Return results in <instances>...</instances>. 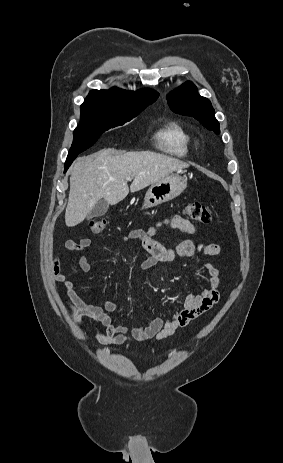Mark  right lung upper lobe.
Returning <instances> with one entry per match:
<instances>
[{
	"instance_id": "cb5924a9",
	"label": "right lung upper lobe",
	"mask_w": 283,
	"mask_h": 463,
	"mask_svg": "<svg viewBox=\"0 0 283 463\" xmlns=\"http://www.w3.org/2000/svg\"><path fill=\"white\" fill-rule=\"evenodd\" d=\"M158 96L156 91L150 89L134 92L114 87L110 90H92L85 100L142 106L152 104Z\"/></svg>"
}]
</instances>
